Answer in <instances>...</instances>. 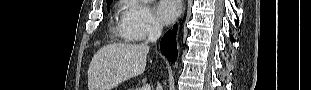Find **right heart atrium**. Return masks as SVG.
Listing matches in <instances>:
<instances>
[{
    "label": "right heart atrium",
    "mask_w": 311,
    "mask_h": 90,
    "mask_svg": "<svg viewBox=\"0 0 311 90\" xmlns=\"http://www.w3.org/2000/svg\"><path fill=\"white\" fill-rule=\"evenodd\" d=\"M124 3L119 28L125 38L141 41L161 30V24L150 7L137 0H124Z\"/></svg>",
    "instance_id": "d8ad5b80"
}]
</instances>
